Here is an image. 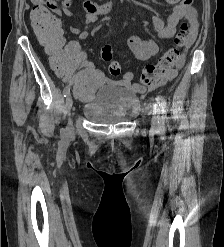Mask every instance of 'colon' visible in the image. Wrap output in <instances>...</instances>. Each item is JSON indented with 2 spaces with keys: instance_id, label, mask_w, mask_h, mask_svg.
I'll list each match as a JSON object with an SVG mask.
<instances>
[{
  "instance_id": "colon-1",
  "label": "colon",
  "mask_w": 224,
  "mask_h": 247,
  "mask_svg": "<svg viewBox=\"0 0 224 247\" xmlns=\"http://www.w3.org/2000/svg\"><path fill=\"white\" fill-rule=\"evenodd\" d=\"M64 6L69 0H62ZM57 3L50 0L46 5L35 6L31 12V23L39 41L56 56L53 60L58 74L70 82L81 99L92 97L99 86L100 80L95 72L83 65L84 53L75 42L64 44L60 21L54 14ZM189 26L184 23L175 38L174 46L168 49L156 64L146 66L141 76L142 84H152L171 71L180 58L181 49L185 46ZM111 46L101 50V57L109 63V72L113 76L121 73L119 62L113 60Z\"/></svg>"
}]
</instances>
